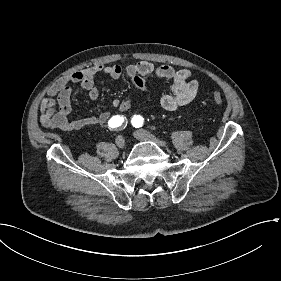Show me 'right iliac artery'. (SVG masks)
Instances as JSON below:
<instances>
[{
    "label": "right iliac artery",
    "instance_id": "1",
    "mask_svg": "<svg viewBox=\"0 0 281 281\" xmlns=\"http://www.w3.org/2000/svg\"><path fill=\"white\" fill-rule=\"evenodd\" d=\"M108 125L113 130H123L127 126V119L122 115H116L109 120Z\"/></svg>",
    "mask_w": 281,
    "mask_h": 281
}]
</instances>
